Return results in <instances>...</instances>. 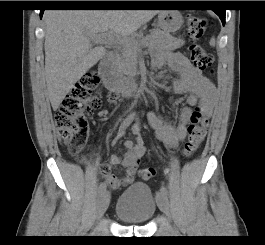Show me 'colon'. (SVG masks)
Wrapping results in <instances>:
<instances>
[{
    "instance_id": "obj_1",
    "label": "colon",
    "mask_w": 265,
    "mask_h": 245,
    "mask_svg": "<svg viewBox=\"0 0 265 245\" xmlns=\"http://www.w3.org/2000/svg\"><path fill=\"white\" fill-rule=\"evenodd\" d=\"M188 37L191 41L199 39L205 31V21L199 17H189L187 20ZM189 55L194 66L202 71L210 70L213 66L212 55L198 44L191 43ZM99 76L90 73L78 82L63 100L55 114V125L61 142L67 146L72 155H78L83 148L88 135L87 117L103 105L102 99L96 94ZM209 117L200 109L191 116L188 127V137L184 144L183 154L189 157L197 152L204 140ZM153 167H144L139 171V178L149 180L154 177Z\"/></svg>"
}]
</instances>
